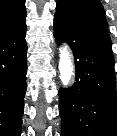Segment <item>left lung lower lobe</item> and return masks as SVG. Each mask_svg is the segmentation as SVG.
<instances>
[{
  "instance_id": "0a47b994",
  "label": "left lung lower lobe",
  "mask_w": 117,
  "mask_h": 136,
  "mask_svg": "<svg viewBox=\"0 0 117 136\" xmlns=\"http://www.w3.org/2000/svg\"><path fill=\"white\" fill-rule=\"evenodd\" d=\"M54 36L74 52L76 82L59 90L61 136H117L114 57L107 31L54 17Z\"/></svg>"
}]
</instances>
